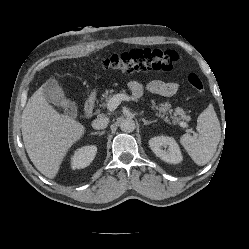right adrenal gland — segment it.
<instances>
[{
    "mask_svg": "<svg viewBox=\"0 0 249 249\" xmlns=\"http://www.w3.org/2000/svg\"><path fill=\"white\" fill-rule=\"evenodd\" d=\"M105 133V131L102 132H93L91 133V135H103Z\"/></svg>",
    "mask_w": 249,
    "mask_h": 249,
    "instance_id": "2a0ac1e0",
    "label": "right adrenal gland"
}]
</instances>
